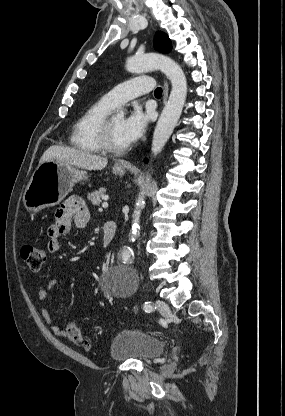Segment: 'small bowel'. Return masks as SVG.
<instances>
[{
  "instance_id": "c3829d8e",
  "label": "small bowel",
  "mask_w": 285,
  "mask_h": 416,
  "mask_svg": "<svg viewBox=\"0 0 285 416\" xmlns=\"http://www.w3.org/2000/svg\"><path fill=\"white\" fill-rule=\"evenodd\" d=\"M90 219V212L84 200L77 196L68 198L56 212L55 223L48 228L49 241L47 249L50 253L59 252L61 249L60 237L67 235L75 226L77 228L84 227ZM62 281L54 278L49 281L47 286L40 287L38 291V299L42 303L50 300L51 293L56 286L61 285ZM42 316L49 326L50 330L59 337H65L66 331L56 325L49 311L42 309Z\"/></svg>"
}]
</instances>
